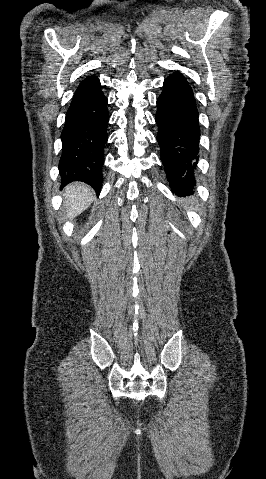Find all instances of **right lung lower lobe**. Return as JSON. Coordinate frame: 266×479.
Segmentation results:
<instances>
[{"label":"right lung lower lobe","instance_id":"98d812e1","mask_svg":"<svg viewBox=\"0 0 266 479\" xmlns=\"http://www.w3.org/2000/svg\"><path fill=\"white\" fill-rule=\"evenodd\" d=\"M108 121L107 98L100 89V81L96 76H88L75 91L61 134L58 167L62 186L82 181L100 193Z\"/></svg>","mask_w":266,"mask_h":479}]
</instances>
